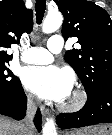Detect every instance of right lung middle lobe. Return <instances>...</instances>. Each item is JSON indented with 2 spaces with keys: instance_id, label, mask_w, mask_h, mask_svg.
<instances>
[{
  "instance_id": "1",
  "label": "right lung middle lobe",
  "mask_w": 112,
  "mask_h": 135,
  "mask_svg": "<svg viewBox=\"0 0 112 135\" xmlns=\"http://www.w3.org/2000/svg\"><path fill=\"white\" fill-rule=\"evenodd\" d=\"M7 63L8 61H0V95L11 93L21 85L19 78L7 67Z\"/></svg>"
}]
</instances>
